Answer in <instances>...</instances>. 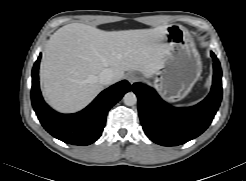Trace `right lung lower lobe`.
Returning a JSON list of instances; mask_svg holds the SVG:
<instances>
[{"instance_id": "right-lung-lower-lobe-1", "label": "right lung lower lobe", "mask_w": 246, "mask_h": 181, "mask_svg": "<svg viewBox=\"0 0 246 181\" xmlns=\"http://www.w3.org/2000/svg\"><path fill=\"white\" fill-rule=\"evenodd\" d=\"M41 54L32 69L31 100L33 108L43 127L55 138L73 145H89L102 134L109 109L125 93L130 84L123 80L101 92L84 110L75 114H60L51 109L43 100L39 88L38 69Z\"/></svg>"}]
</instances>
